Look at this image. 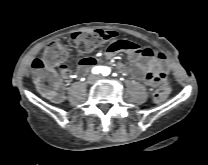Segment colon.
I'll return each instance as SVG.
<instances>
[{
    "instance_id": "5ec220e1",
    "label": "colon",
    "mask_w": 208,
    "mask_h": 165,
    "mask_svg": "<svg viewBox=\"0 0 208 165\" xmlns=\"http://www.w3.org/2000/svg\"><path fill=\"white\" fill-rule=\"evenodd\" d=\"M72 40L78 51L88 53L103 42L104 34L101 30L79 31L72 35ZM69 63V51L65 46L56 42L46 48L42 58H36L32 62L34 82L45 96L55 100L62 97L63 88L55 69H65ZM170 92L171 86L168 83H163L155 90L153 99L157 103L163 102Z\"/></svg>"
}]
</instances>
